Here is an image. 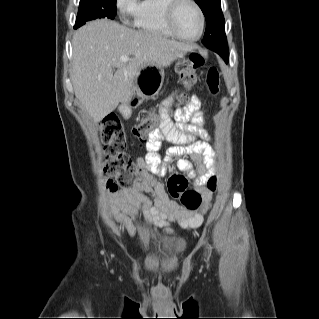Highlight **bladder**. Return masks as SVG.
<instances>
[{
	"label": "bladder",
	"instance_id": "obj_1",
	"mask_svg": "<svg viewBox=\"0 0 319 319\" xmlns=\"http://www.w3.org/2000/svg\"><path fill=\"white\" fill-rule=\"evenodd\" d=\"M186 247V240L178 237H152L146 240L140 251L156 263H169L176 260Z\"/></svg>",
	"mask_w": 319,
	"mask_h": 319
}]
</instances>
